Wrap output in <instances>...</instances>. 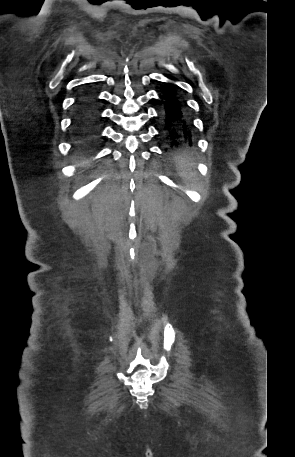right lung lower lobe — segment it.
Masks as SVG:
<instances>
[{
	"label": "right lung lower lobe",
	"mask_w": 295,
	"mask_h": 457,
	"mask_svg": "<svg viewBox=\"0 0 295 457\" xmlns=\"http://www.w3.org/2000/svg\"><path fill=\"white\" fill-rule=\"evenodd\" d=\"M93 105L94 98L90 94L82 95L77 101L78 120L86 127H90L96 117Z\"/></svg>",
	"instance_id": "right-lung-lower-lobe-1"
}]
</instances>
